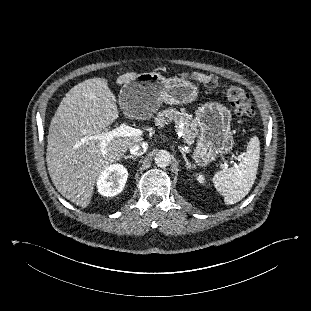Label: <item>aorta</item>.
Returning a JSON list of instances; mask_svg holds the SVG:
<instances>
[{"label":"aorta","instance_id":"obj_1","mask_svg":"<svg viewBox=\"0 0 311 311\" xmlns=\"http://www.w3.org/2000/svg\"><path fill=\"white\" fill-rule=\"evenodd\" d=\"M155 164L158 166V167H161V168H165L167 167L170 162H171V155L168 151L166 150H160L155 158Z\"/></svg>","mask_w":311,"mask_h":311}]
</instances>
